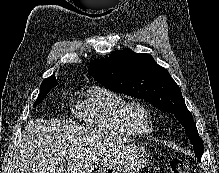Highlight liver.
I'll return each mask as SVG.
<instances>
[{
    "label": "liver",
    "mask_w": 219,
    "mask_h": 173,
    "mask_svg": "<svg viewBox=\"0 0 219 173\" xmlns=\"http://www.w3.org/2000/svg\"><path fill=\"white\" fill-rule=\"evenodd\" d=\"M122 143L60 120H30L20 139L16 173L91 172Z\"/></svg>",
    "instance_id": "obj_1"
}]
</instances>
